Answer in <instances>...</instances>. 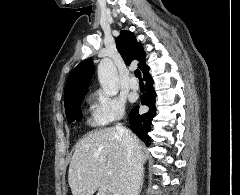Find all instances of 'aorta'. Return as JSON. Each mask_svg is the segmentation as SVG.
Instances as JSON below:
<instances>
[{"label":"aorta","instance_id":"obj_1","mask_svg":"<svg viewBox=\"0 0 240 195\" xmlns=\"http://www.w3.org/2000/svg\"><path fill=\"white\" fill-rule=\"evenodd\" d=\"M97 74L104 94L117 96L119 92L118 72L110 58H102L97 68Z\"/></svg>","mask_w":240,"mask_h":195}]
</instances>
